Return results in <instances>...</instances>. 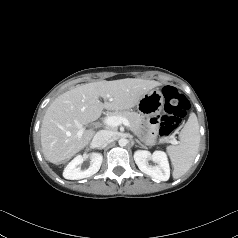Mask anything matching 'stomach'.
<instances>
[{"instance_id":"0dacf381","label":"stomach","mask_w":238,"mask_h":238,"mask_svg":"<svg viewBox=\"0 0 238 238\" xmlns=\"http://www.w3.org/2000/svg\"><path fill=\"white\" fill-rule=\"evenodd\" d=\"M164 106V97L159 90L147 92L138 102L137 109L143 116L149 117L153 113H160Z\"/></svg>"}]
</instances>
